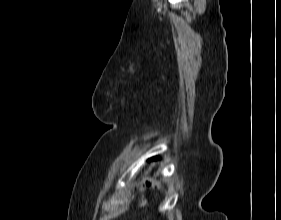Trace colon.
Instances as JSON below:
<instances>
[{
    "instance_id": "colon-1",
    "label": "colon",
    "mask_w": 281,
    "mask_h": 220,
    "mask_svg": "<svg viewBox=\"0 0 281 220\" xmlns=\"http://www.w3.org/2000/svg\"><path fill=\"white\" fill-rule=\"evenodd\" d=\"M139 204H140L141 207L145 206L146 200H145L144 197H141V198H140Z\"/></svg>"
}]
</instances>
